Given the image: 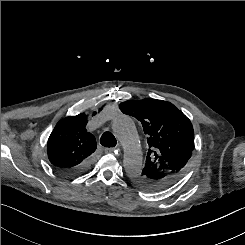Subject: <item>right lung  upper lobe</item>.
I'll list each match as a JSON object with an SVG mask.
<instances>
[{
  "label": "right lung upper lobe",
  "mask_w": 245,
  "mask_h": 245,
  "mask_svg": "<svg viewBox=\"0 0 245 245\" xmlns=\"http://www.w3.org/2000/svg\"><path fill=\"white\" fill-rule=\"evenodd\" d=\"M87 122V116L81 113L57 123L47 143L48 158L54 167L69 170L91 158L97 144L95 137L86 130Z\"/></svg>",
  "instance_id": "cb5924a9"
}]
</instances>
